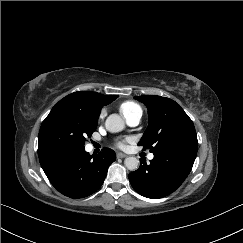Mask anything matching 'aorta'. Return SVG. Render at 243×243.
<instances>
[{
    "label": "aorta",
    "mask_w": 243,
    "mask_h": 243,
    "mask_svg": "<svg viewBox=\"0 0 243 243\" xmlns=\"http://www.w3.org/2000/svg\"><path fill=\"white\" fill-rule=\"evenodd\" d=\"M105 127L109 132L117 133L125 128V123L119 115L111 114L105 121ZM124 164L128 170L135 171L139 167V160L136 157H127Z\"/></svg>",
    "instance_id": "aorta-1"
}]
</instances>
